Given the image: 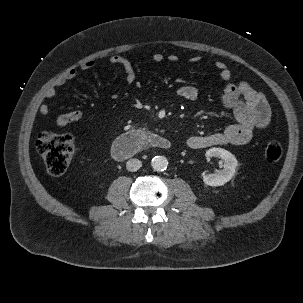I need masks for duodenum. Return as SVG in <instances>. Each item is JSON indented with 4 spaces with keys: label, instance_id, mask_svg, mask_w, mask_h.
I'll return each mask as SVG.
<instances>
[{
    "label": "duodenum",
    "instance_id": "410a0bca",
    "mask_svg": "<svg viewBox=\"0 0 303 303\" xmlns=\"http://www.w3.org/2000/svg\"><path fill=\"white\" fill-rule=\"evenodd\" d=\"M146 146L168 150L172 145L169 139L157 133L132 130L116 138L111 148V154L117 160H124L132 157Z\"/></svg>",
    "mask_w": 303,
    "mask_h": 303
}]
</instances>
